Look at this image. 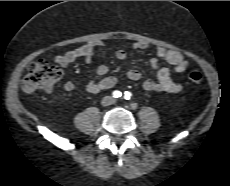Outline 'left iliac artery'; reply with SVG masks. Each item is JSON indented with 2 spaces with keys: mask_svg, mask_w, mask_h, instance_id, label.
Listing matches in <instances>:
<instances>
[{
  "mask_svg": "<svg viewBox=\"0 0 230 186\" xmlns=\"http://www.w3.org/2000/svg\"><path fill=\"white\" fill-rule=\"evenodd\" d=\"M131 96H132V93L129 92V91H126V92L124 93V98H125L126 100H129V99L131 98Z\"/></svg>",
  "mask_w": 230,
  "mask_h": 186,
  "instance_id": "left-iliac-artery-1",
  "label": "left iliac artery"
}]
</instances>
